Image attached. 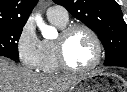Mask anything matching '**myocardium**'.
I'll list each match as a JSON object with an SVG mask.
<instances>
[{
    "label": "myocardium",
    "mask_w": 127,
    "mask_h": 92,
    "mask_svg": "<svg viewBox=\"0 0 127 92\" xmlns=\"http://www.w3.org/2000/svg\"><path fill=\"white\" fill-rule=\"evenodd\" d=\"M77 30L86 31L93 39L96 48V57L94 61L89 66L81 69L72 67L66 57V45L68 39ZM54 48L59 67L61 68V70L68 73L73 74L87 73L95 69L103 59V46L98 34L95 32L93 28L82 23H74L64 27L59 33L57 39L54 41Z\"/></svg>",
    "instance_id": "obj_1"
}]
</instances>
